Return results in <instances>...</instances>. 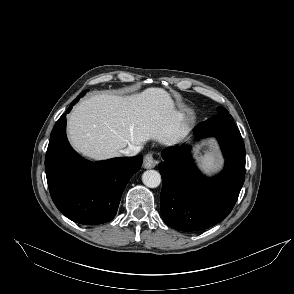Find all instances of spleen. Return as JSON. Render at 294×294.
<instances>
[{
	"mask_svg": "<svg viewBox=\"0 0 294 294\" xmlns=\"http://www.w3.org/2000/svg\"><path fill=\"white\" fill-rule=\"evenodd\" d=\"M201 167L208 173L215 172L218 169L219 161L214 153H206L199 158Z\"/></svg>",
	"mask_w": 294,
	"mask_h": 294,
	"instance_id": "3e777b00",
	"label": "spleen"
}]
</instances>
